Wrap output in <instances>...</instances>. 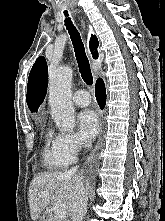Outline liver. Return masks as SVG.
Listing matches in <instances>:
<instances>
[{"mask_svg":"<svg viewBox=\"0 0 165 221\" xmlns=\"http://www.w3.org/2000/svg\"><path fill=\"white\" fill-rule=\"evenodd\" d=\"M76 180L66 172H44L35 176L29 186L28 204L33 221H37L42 212L51 204L64 206L71 215V203L75 191ZM42 192L49 195L39 197Z\"/></svg>","mask_w":165,"mask_h":221,"instance_id":"1","label":"liver"}]
</instances>
